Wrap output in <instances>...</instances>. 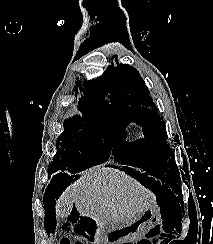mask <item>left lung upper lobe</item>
<instances>
[{
    "instance_id": "left-lung-upper-lobe-1",
    "label": "left lung upper lobe",
    "mask_w": 213,
    "mask_h": 244,
    "mask_svg": "<svg viewBox=\"0 0 213 244\" xmlns=\"http://www.w3.org/2000/svg\"><path fill=\"white\" fill-rule=\"evenodd\" d=\"M98 93L114 115L115 125L119 120L136 122L143 128L145 140L127 143L137 158L139 167L151 170L154 175L170 186L174 192L180 191L181 180L172 148L164 143L167 139L163 117L156 112V104L150 96L139 72L127 64L109 66L98 79ZM122 127L118 131L122 132Z\"/></svg>"
}]
</instances>
